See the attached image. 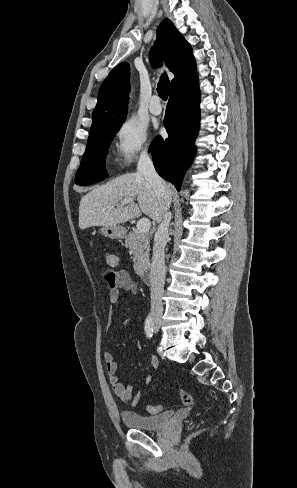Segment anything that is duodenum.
Returning <instances> with one entry per match:
<instances>
[{"mask_svg":"<svg viewBox=\"0 0 297 488\" xmlns=\"http://www.w3.org/2000/svg\"><path fill=\"white\" fill-rule=\"evenodd\" d=\"M138 274L144 283L151 284L153 282V271L151 266L146 265L140 268Z\"/></svg>","mask_w":297,"mask_h":488,"instance_id":"duodenum-1","label":"duodenum"}]
</instances>
